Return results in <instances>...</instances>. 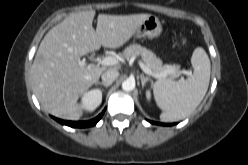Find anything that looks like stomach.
<instances>
[{"label":"stomach","mask_w":248,"mask_h":165,"mask_svg":"<svg viewBox=\"0 0 248 165\" xmlns=\"http://www.w3.org/2000/svg\"><path fill=\"white\" fill-rule=\"evenodd\" d=\"M162 32V26L159 19L154 15H149V17L143 21L135 32V37L142 38H157Z\"/></svg>","instance_id":"0dacf381"}]
</instances>
